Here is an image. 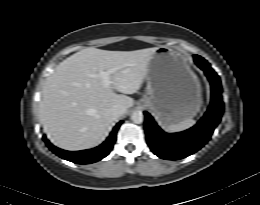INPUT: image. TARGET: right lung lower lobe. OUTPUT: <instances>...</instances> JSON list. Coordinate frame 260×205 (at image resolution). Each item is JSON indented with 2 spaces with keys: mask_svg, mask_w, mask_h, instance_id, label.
Segmentation results:
<instances>
[{
  "mask_svg": "<svg viewBox=\"0 0 260 205\" xmlns=\"http://www.w3.org/2000/svg\"><path fill=\"white\" fill-rule=\"evenodd\" d=\"M122 121L119 122L111 132L110 136L107 138V140L101 144L100 146L89 149V150H83V151H66L59 149L55 146H53L45 136H43V139L46 143V145L52 150L56 155L59 157L66 159L68 161H71L76 164H90L94 163L96 161L101 160L105 156H107L110 151L113 148V145L116 141V133L118 128L120 127Z\"/></svg>",
  "mask_w": 260,
  "mask_h": 205,
  "instance_id": "98d812e1",
  "label": "right lung lower lobe"
}]
</instances>
